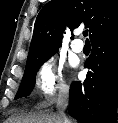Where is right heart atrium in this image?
<instances>
[{
  "label": "right heart atrium",
  "mask_w": 118,
  "mask_h": 123,
  "mask_svg": "<svg viewBox=\"0 0 118 123\" xmlns=\"http://www.w3.org/2000/svg\"><path fill=\"white\" fill-rule=\"evenodd\" d=\"M35 86L45 103H53L65 94L68 86L63 76V66L54 58H48L37 69Z\"/></svg>",
  "instance_id": "1"
}]
</instances>
